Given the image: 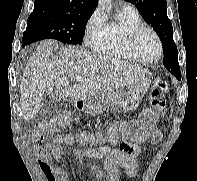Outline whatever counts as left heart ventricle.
Masks as SVG:
<instances>
[{"mask_svg":"<svg viewBox=\"0 0 197 181\" xmlns=\"http://www.w3.org/2000/svg\"><path fill=\"white\" fill-rule=\"evenodd\" d=\"M138 48L143 58L146 60H155L159 49L155 38L150 33H144L138 42Z\"/></svg>","mask_w":197,"mask_h":181,"instance_id":"obj_1","label":"left heart ventricle"}]
</instances>
